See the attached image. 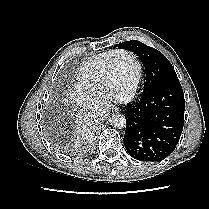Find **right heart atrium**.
<instances>
[{
    "mask_svg": "<svg viewBox=\"0 0 209 209\" xmlns=\"http://www.w3.org/2000/svg\"><path fill=\"white\" fill-rule=\"evenodd\" d=\"M72 100L85 112H97L103 109L104 99L96 94L75 86L71 93Z\"/></svg>",
    "mask_w": 209,
    "mask_h": 209,
    "instance_id": "right-heart-atrium-1",
    "label": "right heart atrium"
}]
</instances>
